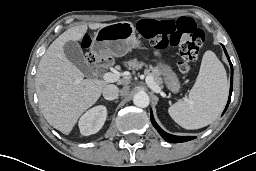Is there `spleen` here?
<instances>
[{
    "instance_id": "3e777b00",
    "label": "spleen",
    "mask_w": 256,
    "mask_h": 171,
    "mask_svg": "<svg viewBox=\"0 0 256 171\" xmlns=\"http://www.w3.org/2000/svg\"><path fill=\"white\" fill-rule=\"evenodd\" d=\"M229 85L223 64L206 51L196 82L185 100L168 109L171 118L185 129H199L215 121L227 102Z\"/></svg>"
}]
</instances>
